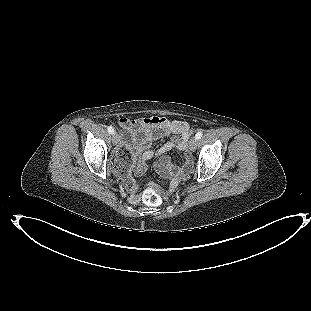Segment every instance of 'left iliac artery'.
<instances>
[{
	"label": "left iliac artery",
	"instance_id": "44dca946",
	"mask_svg": "<svg viewBox=\"0 0 311 311\" xmlns=\"http://www.w3.org/2000/svg\"><path fill=\"white\" fill-rule=\"evenodd\" d=\"M202 135H203V132L200 130V131H198V132L196 133L195 138H196L197 140H199V139H201Z\"/></svg>",
	"mask_w": 311,
	"mask_h": 311
}]
</instances>
